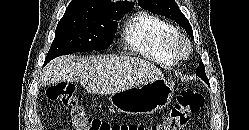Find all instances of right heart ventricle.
I'll return each mask as SVG.
<instances>
[{
    "label": "right heart ventricle",
    "instance_id": "e07e8e85",
    "mask_svg": "<svg viewBox=\"0 0 249 130\" xmlns=\"http://www.w3.org/2000/svg\"><path fill=\"white\" fill-rule=\"evenodd\" d=\"M176 29L166 20L140 12L124 28L123 38L134 52L162 65H175L177 59L170 53L168 44Z\"/></svg>",
    "mask_w": 249,
    "mask_h": 130
}]
</instances>
